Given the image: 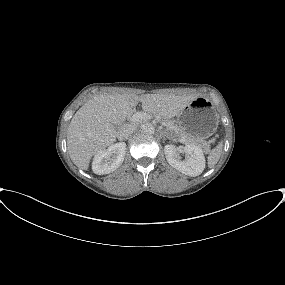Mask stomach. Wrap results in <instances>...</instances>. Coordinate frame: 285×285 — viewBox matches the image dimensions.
<instances>
[{"label": "stomach", "mask_w": 285, "mask_h": 285, "mask_svg": "<svg viewBox=\"0 0 285 285\" xmlns=\"http://www.w3.org/2000/svg\"><path fill=\"white\" fill-rule=\"evenodd\" d=\"M176 122L186 135L204 139L216 131L219 116L212 101L200 96L179 112Z\"/></svg>", "instance_id": "stomach-1"}]
</instances>
